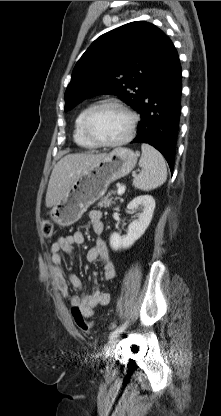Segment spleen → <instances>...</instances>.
Returning <instances> with one entry per match:
<instances>
[{"mask_svg":"<svg viewBox=\"0 0 221 416\" xmlns=\"http://www.w3.org/2000/svg\"><path fill=\"white\" fill-rule=\"evenodd\" d=\"M139 166L142 171L134 176L133 186L149 191L161 186L167 179V168L162 154L149 144L141 145Z\"/></svg>","mask_w":221,"mask_h":416,"instance_id":"spleen-1","label":"spleen"}]
</instances>
